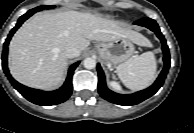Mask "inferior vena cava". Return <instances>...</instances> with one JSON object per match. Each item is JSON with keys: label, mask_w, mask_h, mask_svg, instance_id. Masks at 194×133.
I'll use <instances>...</instances> for the list:
<instances>
[{"label": "inferior vena cava", "mask_w": 194, "mask_h": 133, "mask_svg": "<svg viewBox=\"0 0 194 133\" xmlns=\"http://www.w3.org/2000/svg\"><path fill=\"white\" fill-rule=\"evenodd\" d=\"M64 53L66 58H74L79 55V50L74 46H68Z\"/></svg>", "instance_id": "inferior-vena-cava-1"}]
</instances>
